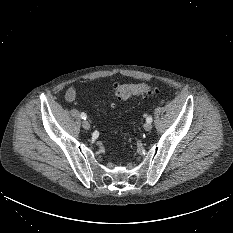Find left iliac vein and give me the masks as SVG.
Masks as SVG:
<instances>
[{"label": "left iliac vein", "mask_w": 233, "mask_h": 233, "mask_svg": "<svg viewBox=\"0 0 233 233\" xmlns=\"http://www.w3.org/2000/svg\"><path fill=\"white\" fill-rule=\"evenodd\" d=\"M144 129H145L146 131H150V130L152 129L151 123H145Z\"/></svg>", "instance_id": "1"}]
</instances>
